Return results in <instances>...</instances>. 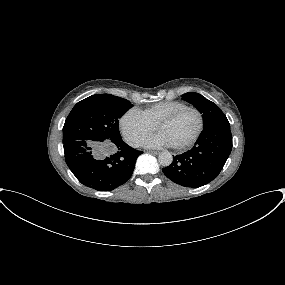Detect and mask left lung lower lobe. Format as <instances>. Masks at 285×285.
<instances>
[{
	"mask_svg": "<svg viewBox=\"0 0 285 285\" xmlns=\"http://www.w3.org/2000/svg\"><path fill=\"white\" fill-rule=\"evenodd\" d=\"M231 149L229 122L212 123L204 126L196 145L190 151L173 157L171 165L162 171L181 186L197 188L219 175Z\"/></svg>",
	"mask_w": 285,
	"mask_h": 285,
	"instance_id": "obj_1",
	"label": "left lung lower lobe"
}]
</instances>
